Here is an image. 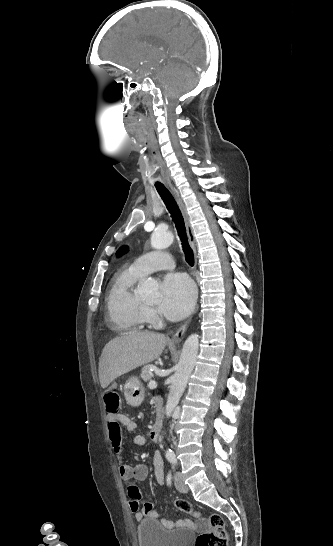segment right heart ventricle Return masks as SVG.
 I'll return each instance as SVG.
<instances>
[{"instance_id":"1","label":"right heart ventricle","mask_w":333,"mask_h":546,"mask_svg":"<svg viewBox=\"0 0 333 546\" xmlns=\"http://www.w3.org/2000/svg\"><path fill=\"white\" fill-rule=\"evenodd\" d=\"M143 276L130 266L117 273L111 283L106 299L108 321L119 330L136 332L145 327L146 307L136 293V285Z\"/></svg>"}]
</instances>
